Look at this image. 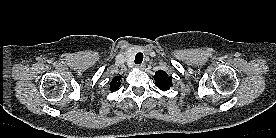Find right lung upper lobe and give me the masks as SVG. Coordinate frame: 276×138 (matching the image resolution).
Listing matches in <instances>:
<instances>
[{"label":"right lung upper lobe","mask_w":276,"mask_h":138,"mask_svg":"<svg viewBox=\"0 0 276 138\" xmlns=\"http://www.w3.org/2000/svg\"><path fill=\"white\" fill-rule=\"evenodd\" d=\"M120 79H121V77H116L110 82V89L112 91L119 89V85L121 84Z\"/></svg>","instance_id":"cb5924a9"}]
</instances>
